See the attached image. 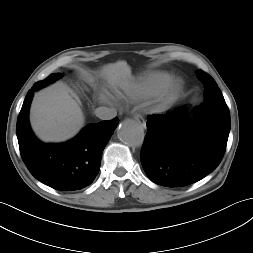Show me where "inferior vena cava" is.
Returning a JSON list of instances; mask_svg holds the SVG:
<instances>
[{"instance_id":"inferior-vena-cava-1","label":"inferior vena cava","mask_w":253,"mask_h":253,"mask_svg":"<svg viewBox=\"0 0 253 253\" xmlns=\"http://www.w3.org/2000/svg\"><path fill=\"white\" fill-rule=\"evenodd\" d=\"M95 115L101 120H111L117 116V112L113 108L98 107L95 109Z\"/></svg>"}]
</instances>
